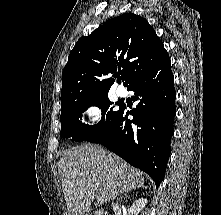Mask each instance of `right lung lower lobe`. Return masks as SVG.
<instances>
[{
  "label": "right lung lower lobe",
  "instance_id": "obj_1",
  "mask_svg": "<svg viewBox=\"0 0 221 215\" xmlns=\"http://www.w3.org/2000/svg\"><path fill=\"white\" fill-rule=\"evenodd\" d=\"M128 90L134 91V99L140 101L136 108L129 111L122 106L114 123L88 141L106 146L145 171L158 187L164 179L176 115L170 58L136 79ZM128 115L133 120H128Z\"/></svg>",
  "mask_w": 221,
  "mask_h": 215
}]
</instances>
